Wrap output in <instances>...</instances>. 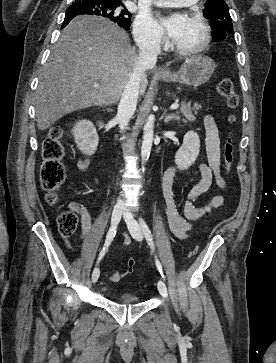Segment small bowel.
I'll use <instances>...</instances> for the list:
<instances>
[{
	"label": "small bowel",
	"instance_id": "obj_1",
	"mask_svg": "<svg viewBox=\"0 0 276 363\" xmlns=\"http://www.w3.org/2000/svg\"><path fill=\"white\" fill-rule=\"evenodd\" d=\"M203 125L206 130V152L208 163H198L197 169L200 172V180L190 189L182 209L178 208L173 183L176 168H167L162 177V191L164 196L163 209L167 218L168 226L172 234L180 240H188L191 237L194 222L210 212L213 208L223 205L224 197L217 195L213 197L210 204L196 206L194 202L201 196L213 182L220 188H225L226 183L220 174V145L221 136L214 118L211 115L203 117ZM90 158H80L77 161V168L80 171L86 170L90 165ZM70 207L76 211L81 218V238H84L91 228V217L87 207L81 203H72ZM131 244V238L125 235L123 245ZM124 274L119 272L106 273V277L111 282H118Z\"/></svg>",
	"mask_w": 276,
	"mask_h": 363
}]
</instances>
